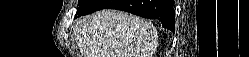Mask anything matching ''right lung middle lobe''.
<instances>
[{
    "label": "right lung middle lobe",
    "mask_w": 249,
    "mask_h": 57,
    "mask_svg": "<svg viewBox=\"0 0 249 57\" xmlns=\"http://www.w3.org/2000/svg\"><path fill=\"white\" fill-rule=\"evenodd\" d=\"M91 0H79V8L78 10H82L83 8H86L90 4Z\"/></svg>",
    "instance_id": "dd1d6c3e"
}]
</instances>
